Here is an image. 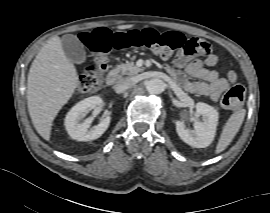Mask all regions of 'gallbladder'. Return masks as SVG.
I'll list each match as a JSON object with an SVG mask.
<instances>
[{
    "instance_id": "1",
    "label": "gallbladder",
    "mask_w": 270,
    "mask_h": 213,
    "mask_svg": "<svg viewBox=\"0 0 270 213\" xmlns=\"http://www.w3.org/2000/svg\"><path fill=\"white\" fill-rule=\"evenodd\" d=\"M62 48L67 58L74 63H83L86 52L82 42L74 35L66 34L61 38Z\"/></svg>"
}]
</instances>
